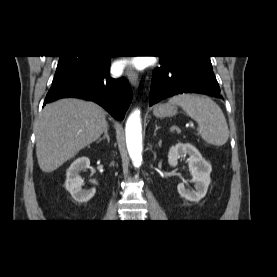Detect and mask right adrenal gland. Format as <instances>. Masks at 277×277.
I'll return each instance as SVG.
<instances>
[{"mask_svg":"<svg viewBox=\"0 0 277 277\" xmlns=\"http://www.w3.org/2000/svg\"><path fill=\"white\" fill-rule=\"evenodd\" d=\"M104 139H107V141L110 142V137L108 135V127L105 129L104 135L97 142L99 143Z\"/></svg>","mask_w":277,"mask_h":277,"instance_id":"2a0ac1e0","label":"right adrenal gland"}]
</instances>
